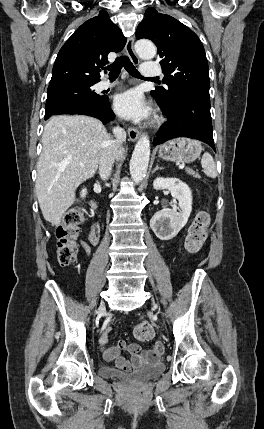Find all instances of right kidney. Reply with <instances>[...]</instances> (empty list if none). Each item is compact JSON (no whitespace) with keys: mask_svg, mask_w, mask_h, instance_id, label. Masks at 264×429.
<instances>
[{"mask_svg":"<svg viewBox=\"0 0 264 429\" xmlns=\"http://www.w3.org/2000/svg\"><path fill=\"white\" fill-rule=\"evenodd\" d=\"M86 194H87V190L84 188V189L81 191L80 195H81V197H82V198H84V197H86Z\"/></svg>","mask_w":264,"mask_h":429,"instance_id":"obj_1","label":"right kidney"}]
</instances>
